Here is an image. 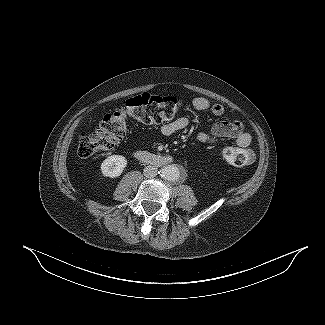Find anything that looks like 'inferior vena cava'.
Wrapping results in <instances>:
<instances>
[{"instance_id": "1", "label": "inferior vena cava", "mask_w": 325, "mask_h": 325, "mask_svg": "<svg viewBox=\"0 0 325 325\" xmlns=\"http://www.w3.org/2000/svg\"><path fill=\"white\" fill-rule=\"evenodd\" d=\"M158 173V170L154 166H146L143 170V174L146 178H154Z\"/></svg>"}]
</instances>
